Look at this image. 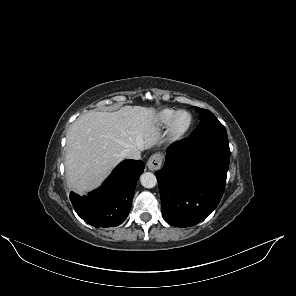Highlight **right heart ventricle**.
<instances>
[{
    "mask_svg": "<svg viewBox=\"0 0 296 296\" xmlns=\"http://www.w3.org/2000/svg\"><path fill=\"white\" fill-rule=\"evenodd\" d=\"M174 114H175V110H173V109L160 110L155 115L154 125L158 126V127L168 126Z\"/></svg>",
    "mask_w": 296,
    "mask_h": 296,
    "instance_id": "right-heart-ventricle-1",
    "label": "right heart ventricle"
}]
</instances>
